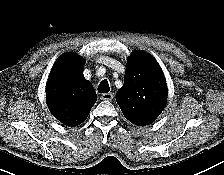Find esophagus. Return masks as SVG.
<instances>
[{"instance_id": "esophagus-1", "label": "esophagus", "mask_w": 224, "mask_h": 175, "mask_svg": "<svg viewBox=\"0 0 224 175\" xmlns=\"http://www.w3.org/2000/svg\"><path fill=\"white\" fill-rule=\"evenodd\" d=\"M114 95L112 93H104L101 95V100L111 101Z\"/></svg>"}]
</instances>
